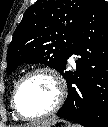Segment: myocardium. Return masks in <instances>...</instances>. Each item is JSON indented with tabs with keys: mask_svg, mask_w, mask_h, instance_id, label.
Instances as JSON below:
<instances>
[{
	"mask_svg": "<svg viewBox=\"0 0 108 127\" xmlns=\"http://www.w3.org/2000/svg\"><path fill=\"white\" fill-rule=\"evenodd\" d=\"M37 74H46L53 79V81L55 82L56 87H57V99H56V102L53 105V107L50 110H48L47 112L40 114V115H36V116H27L20 111V109L17 105V96H18V93H19L23 83L31 76H34ZM65 99H66V84H65L63 78L53 69L46 68V67H39V68L30 70L29 72L24 74L19 79V81L17 82V84L13 90V93H12L11 106H12L15 114L18 117H20L24 120H37V119H42V118L48 117V116L56 113L63 105Z\"/></svg>",
	"mask_w": 108,
	"mask_h": 127,
	"instance_id": "myocardium-1",
	"label": "myocardium"
}]
</instances>
